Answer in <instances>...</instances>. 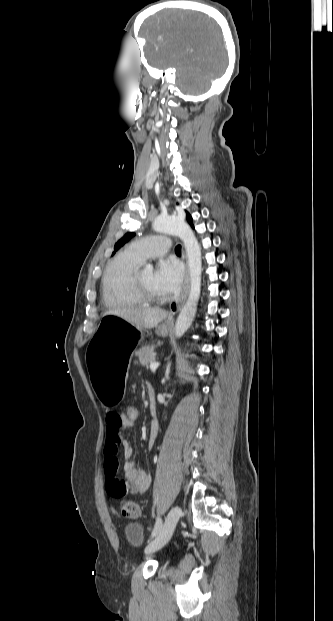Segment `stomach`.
I'll use <instances>...</instances> for the list:
<instances>
[{
    "label": "stomach",
    "mask_w": 333,
    "mask_h": 621,
    "mask_svg": "<svg viewBox=\"0 0 333 621\" xmlns=\"http://www.w3.org/2000/svg\"><path fill=\"white\" fill-rule=\"evenodd\" d=\"M144 337L142 328L125 314L105 316L86 346V373L99 401L109 413L116 412L126 393L128 362L133 347Z\"/></svg>",
    "instance_id": "0dacf381"
}]
</instances>
